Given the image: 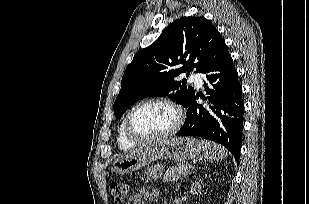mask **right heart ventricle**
Masks as SVG:
<instances>
[{
	"label": "right heart ventricle",
	"instance_id": "obj_1",
	"mask_svg": "<svg viewBox=\"0 0 309 204\" xmlns=\"http://www.w3.org/2000/svg\"><path fill=\"white\" fill-rule=\"evenodd\" d=\"M124 120L121 122L119 129H118V143H119V146L121 148L128 149V148L133 147L135 145V143H133L129 139H127V137L124 133Z\"/></svg>",
	"mask_w": 309,
	"mask_h": 204
}]
</instances>
